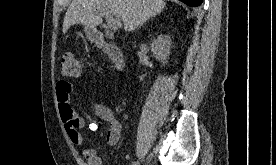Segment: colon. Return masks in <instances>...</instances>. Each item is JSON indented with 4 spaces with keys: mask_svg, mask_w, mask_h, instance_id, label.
Returning a JSON list of instances; mask_svg holds the SVG:
<instances>
[{
    "mask_svg": "<svg viewBox=\"0 0 276 165\" xmlns=\"http://www.w3.org/2000/svg\"><path fill=\"white\" fill-rule=\"evenodd\" d=\"M82 68V61L74 53L67 52L62 56L60 69L62 76L76 77L81 73Z\"/></svg>",
    "mask_w": 276,
    "mask_h": 165,
    "instance_id": "obj_1",
    "label": "colon"
}]
</instances>
